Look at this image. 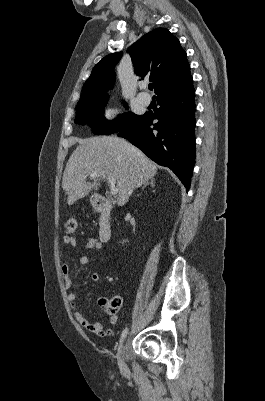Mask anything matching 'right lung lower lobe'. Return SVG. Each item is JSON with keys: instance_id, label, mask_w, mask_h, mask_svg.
<instances>
[{"instance_id": "right-lung-lower-lobe-1", "label": "right lung lower lobe", "mask_w": 265, "mask_h": 401, "mask_svg": "<svg viewBox=\"0 0 265 401\" xmlns=\"http://www.w3.org/2000/svg\"><path fill=\"white\" fill-rule=\"evenodd\" d=\"M194 97L192 82L182 89L161 93L156 112L145 113L140 121L117 134L159 165L170 168L187 191L195 161Z\"/></svg>"}]
</instances>
